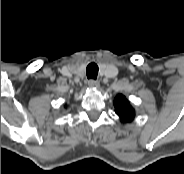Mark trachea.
I'll use <instances>...</instances> for the list:
<instances>
[{
	"instance_id": "3493384b",
	"label": "trachea",
	"mask_w": 184,
	"mask_h": 174,
	"mask_svg": "<svg viewBox=\"0 0 184 174\" xmlns=\"http://www.w3.org/2000/svg\"><path fill=\"white\" fill-rule=\"evenodd\" d=\"M98 66L96 63L92 62L90 64H88L87 68H86V75L88 77V79H93L96 80L97 75H98Z\"/></svg>"
}]
</instances>
